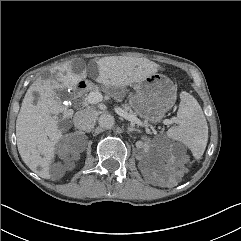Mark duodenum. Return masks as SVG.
Returning a JSON list of instances; mask_svg holds the SVG:
<instances>
[{
  "label": "duodenum",
  "mask_w": 241,
  "mask_h": 241,
  "mask_svg": "<svg viewBox=\"0 0 241 241\" xmlns=\"http://www.w3.org/2000/svg\"><path fill=\"white\" fill-rule=\"evenodd\" d=\"M90 85L88 82L86 81H80L78 83L75 84V87H74V96L75 97H79L80 94L87 88H89Z\"/></svg>",
  "instance_id": "obj_1"
}]
</instances>
